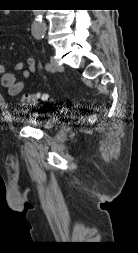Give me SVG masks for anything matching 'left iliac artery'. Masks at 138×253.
Here are the masks:
<instances>
[{"label":"left iliac artery","instance_id":"obj_1","mask_svg":"<svg viewBox=\"0 0 138 253\" xmlns=\"http://www.w3.org/2000/svg\"><path fill=\"white\" fill-rule=\"evenodd\" d=\"M45 68H46V70H51V69H52V66H51L50 63H47V64L45 65Z\"/></svg>","mask_w":138,"mask_h":253}]
</instances>
